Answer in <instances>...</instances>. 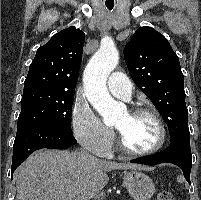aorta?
I'll return each instance as SVG.
<instances>
[{
	"label": "aorta",
	"mask_w": 201,
	"mask_h": 200,
	"mask_svg": "<svg viewBox=\"0 0 201 200\" xmlns=\"http://www.w3.org/2000/svg\"><path fill=\"white\" fill-rule=\"evenodd\" d=\"M119 61V53L112 41L102 42L98 51L91 57L84 74L85 93L90 104L102 116L106 125L118 118V103L107 90V78Z\"/></svg>",
	"instance_id": "obj_1"
}]
</instances>
